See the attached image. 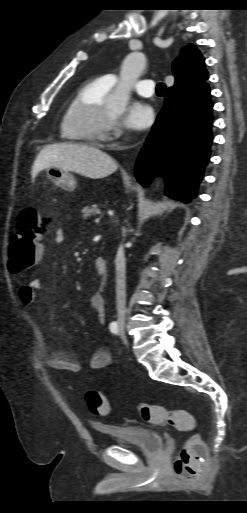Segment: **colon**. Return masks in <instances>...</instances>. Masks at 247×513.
<instances>
[{"label":"colon","instance_id":"1","mask_svg":"<svg viewBox=\"0 0 247 513\" xmlns=\"http://www.w3.org/2000/svg\"><path fill=\"white\" fill-rule=\"evenodd\" d=\"M45 235V221L34 208L24 209L18 218L15 233L9 246V266L12 273H21L29 269L41 257V241ZM86 404L96 416H106L110 406L105 396L91 390L86 393ZM136 409L141 418L151 424L168 423L180 431L194 432L195 417L186 410H170L159 405L137 403ZM206 456L203 441L193 433L184 443L173 464L174 474L178 478L192 479L202 469Z\"/></svg>","mask_w":247,"mask_h":513}]
</instances>
